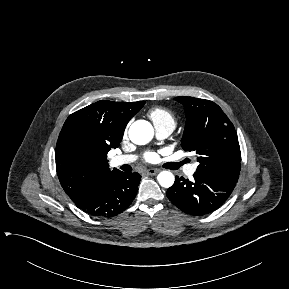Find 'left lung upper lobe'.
<instances>
[{"label": "left lung upper lobe", "mask_w": 289, "mask_h": 289, "mask_svg": "<svg viewBox=\"0 0 289 289\" xmlns=\"http://www.w3.org/2000/svg\"><path fill=\"white\" fill-rule=\"evenodd\" d=\"M186 124L181 146L197 154V172L207 173L237 183L241 152L237 133L222 109L212 101L180 96Z\"/></svg>", "instance_id": "5c2ea615"}]
</instances>
